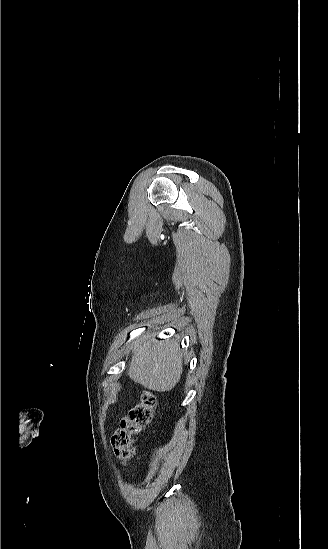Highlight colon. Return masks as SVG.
Returning <instances> with one entry per match:
<instances>
[{
  "instance_id": "5ec220e1",
  "label": "colon",
  "mask_w": 328,
  "mask_h": 549,
  "mask_svg": "<svg viewBox=\"0 0 328 549\" xmlns=\"http://www.w3.org/2000/svg\"><path fill=\"white\" fill-rule=\"evenodd\" d=\"M156 405V397L151 392H145L140 403L122 419L112 437L114 451L122 463L127 464L134 456L133 436L150 422Z\"/></svg>"
}]
</instances>
